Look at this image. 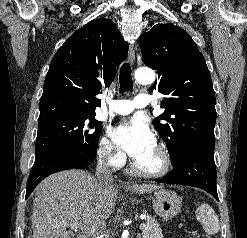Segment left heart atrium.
<instances>
[{
	"instance_id": "obj_1",
	"label": "left heart atrium",
	"mask_w": 247,
	"mask_h": 238,
	"mask_svg": "<svg viewBox=\"0 0 247 238\" xmlns=\"http://www.w3.org/2000/svg\"><path fill=\"white\" fill-rule=\"evenodd\" d=\"M114 142L134 159L155 147V137L149 126L140 118L123 122L112 130Z\"/></svg>"
}]
</instances>
